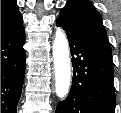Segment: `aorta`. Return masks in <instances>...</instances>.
I'll return each mask as SVG.
<instances>
[{"mask_svg": "<svg viewBox=\"0 0 121 113\" xmlns=\"http://www.w3.org/2000/svg\"><path fill=\"white\" fill-rule=\"evenodd\" d=\"M53 58L56 94L58 97L64 98L69 93L71 67L68 40L61 28H58L55 32Z\"/></svg>", "mask_w": 121, "mask_h": 113, "instance_id": "762f6f07", "label": "aorta"}]
</instances>
